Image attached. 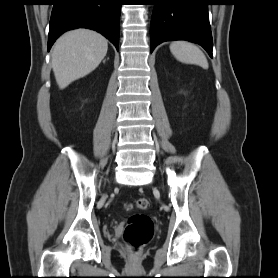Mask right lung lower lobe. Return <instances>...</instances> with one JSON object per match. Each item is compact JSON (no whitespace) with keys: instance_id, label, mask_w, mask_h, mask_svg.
Returning a JSON list of instances; mask_svg holds the SVG:
<instances>
[{"instance_id":"1","label":"right lung lower lobe","mask_w":278,"mask_h":278,"mask_svg":"<svg viewBox=\"0 0 278 278\" xmlns=\"http://www.w3.org/2000/svg\"><path fill=\"white\" fill-rule=\"evenodd\" d=\"M50 19L48 51L64 32L83 27L93 29L119 49L122 0H54Z\"/></svg>"}]
</instances>
